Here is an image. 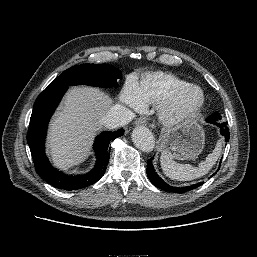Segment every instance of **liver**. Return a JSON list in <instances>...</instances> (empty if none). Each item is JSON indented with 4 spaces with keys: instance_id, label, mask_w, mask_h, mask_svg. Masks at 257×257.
Here are the masks:
<instances>
[{
    "instance_id": "1",
    "label": "liver",
    "mask_w": 257,
    "mask_h": 257,
    "mask_svg": "<svg viewBox=\"0 0 257 257\" xmlns=\"http://www.w3.org/2000/svg\"><path fill=\"white\" fill-rule=\"evenodd\" d=\"M111 104L109 95L98 88L73 87L67 92L48 132V149L55 166L67 168L89 155Z\"/></svg>"
}]
</instances>
